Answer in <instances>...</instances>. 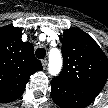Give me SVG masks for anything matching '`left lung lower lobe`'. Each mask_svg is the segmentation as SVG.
Listing matches in <instances>:
<instances>
[{
	"label": "left lung lower lobe",
	"mask_w": 108,
	"mask_h": 108,
	"mask_svg": "<svg viewBox=\"0 0 108 108\" xmlns=\"http://www.w3.org/2000/svg\"><path fill=\"white\" fill-rule=\"evenodd\" d=\"M100 91L98 87L80 86L60 79L51 81L52 99L62 108H84Z\"/></svg>",
	"instance_id": "obj_1"
}]
</instances>
